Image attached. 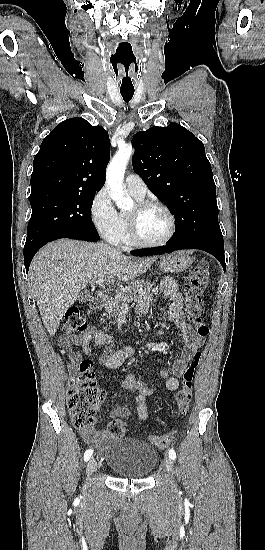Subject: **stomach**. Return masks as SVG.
<instances>
[{
	"label": "stomach",
	"mask_w": 265,
	"mask_h": 550,
	"mask_svg": "<svg viewBox=\"0 0 265 550\" xmlns=\"http://www.w3.org/2000/svg\"><path fill=\"white\" fill-rule=\"evenodd\" d=\"M192 262V259L183 252H175L162 256L159 268L164 273H179L186 270Z\"/></svg>",
	"instance_id": "1"
}]
</instances>
